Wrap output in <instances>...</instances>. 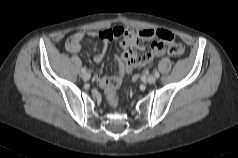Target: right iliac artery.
I'll return each instance as SVG.
<instances>
[{
  "mask_svg": "<svg viewBox=\"0 0 238 158\" xmlns=\"http://www.w3.org/2000/svg\"><path fill=\"white\" fill-rule=\"evenodd\" d=\"M81 72H82V73H85V72H86V68L83 67V68L81 69Z\"/></svg>",
  "mask_w": 238,
  "mask_h": 158,
  "instance_id": "obj_1",
  "label": "right iliac artery"
}]
</instances>
